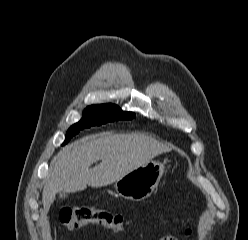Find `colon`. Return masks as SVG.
Segmentation results:
<instances>
[{"label": "colon", "mask_w": 248, "mask_h": 240, "mask_svg": "<svg viewBox=\"0 0 248 240\" xmlns=\"http://www.w3.org/2000/svg\"><path fill=\"white\" fill-rule=\"evenodd\" d=\"M59 221L68 230L86 225H99L114 232H124L131 227L130 220L123 214L111 213L89 205L62 208L59 213Z\"/></svg>", "instance_id": "colon-1"}]
</instances>
